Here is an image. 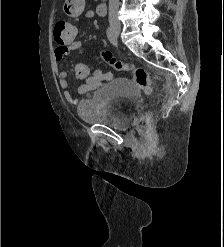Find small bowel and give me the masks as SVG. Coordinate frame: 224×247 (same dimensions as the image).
Here are the masks:
<instances>
[{
	"label": "small bowel",
	"mask_w": 224,
	"mask_h": 247,
	"mask_svg": "<svg viewBox=\"0 0 224 247\" xmlns=\"http://www.w3.org/2000/svg\"><path fill=\"white\" fill-rule=\"evenodd\" d=\"M64 11L67 15L71 17H78L83 13L86 19H92L95 16L94 11L92 10L84 12V0H65ZM55 41L57 43V46L54 49V58L56 61H61L71 51H80L83 48L82 44L75 40L67 42H61L58 40ZM67 75L68 74L66 71H59L58 83L59 86L64 90V98L66 99V101L70 104H76V98H74L68 91Z\"/></svg>",
	"instance_id": "obj_1"
}]
</instances>
